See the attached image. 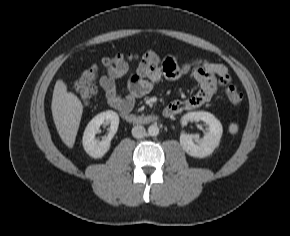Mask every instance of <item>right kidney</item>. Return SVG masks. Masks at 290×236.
<instances>
[{
  "instance_id": "1",
  "label": "right kidney",
  "mask_w": 290,
  "mask_h": 236,
  "mask_svg": "<svg viewBox=\"0 0 290 236\" xmlns=\"http://www.w3.org/2000/svg\"><path fill=\"white\" fill-rule=\"evenodd\" d=\"M110 124L109 133L102 141H97L95 135L102 124ZM119 126V116L116 112L108 110L96 115L86 126L82 143L86 153L97 159L102 158L110 149L111 139L116 134Z\"/></svg>"
}]
</instances>
